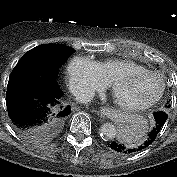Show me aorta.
Here are the masks:
<instances>
[{"mask_svg": "<svg viewBox=\"0 0 177 177\" xmlns=\"http://www.w3.org/2000/svg\"><path fill=\"white\" fill-rule=\"evenodd\" d=\"M100 132H101V136L107 140L114 139L118 133L115 125L108 122L104 123L101 126Z\"/></svg>", "mask_w": 177, "mask_h": 177, "instance_id": "obj_1", "label": "aorta"}]
</instances>
